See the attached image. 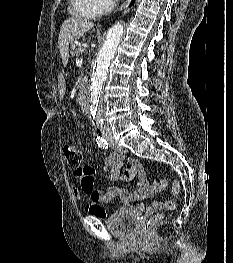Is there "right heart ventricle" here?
<instances>
[{
  "label": "right heart ventricle",
  "mask_w": 233,
  "mask_h": 263,
  "mask_svg": "<svg viewBox=\"0 0 233 263\" xmlns=\"http://www.w3.org/2000/svg\"><path fill=\"white\" fill-rule=\"evenodd\" d=\"M75 13L84 18H94L99 14L91 0H72Z\"/></svg>",
  "instance_id": "e07e8e85"
}]
</instances>
